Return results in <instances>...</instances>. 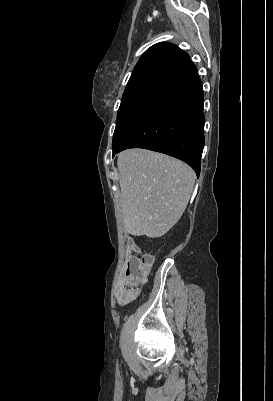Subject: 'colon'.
Masks as SVG:
<instances>
[{
    "instance_id": "5ec220e1",
    "label": "colon",
    "mask_w": 273,
    "mask_h": 401,
    "mask_svg": "<svg viewBox=\"0 0 273 401\" xmlns=\"http://www.w3.org/2000/svg\"><path fill=\"white\" fill-rule=\"evenodd\" d=\"M150 257H126L125 268L122 269L123 278L117 280L119 287L115 290L117 297H135L141 291L138 282H146L151 274Z\"/></svg>"
}]
</instances>
